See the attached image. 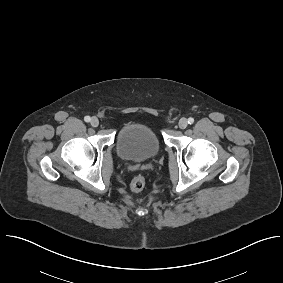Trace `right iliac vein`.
Listing matches in <instances>:
<instances>
[{
  "mask_svg": "<svg viewBox=\"0 0 283 283\" xmlns=\"http://www.w3.org/2000/svg\"><path fill=\"white\" fill-rule=\"evenodd\" d=\"M91 125H92L93 127H97V126L99 125V120H98L97 117H93V118L91 119Z\"/></svg>",
  "mask_w": 283,
  "mask_h": 283,
  "instance_id": "1",
  "label": "right iliac vein"
}]
</instances>
